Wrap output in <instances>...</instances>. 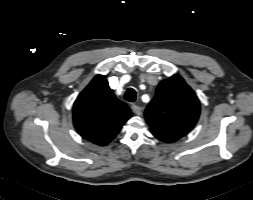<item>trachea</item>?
Listing matches in <instances>:
<instances>
[{"label": "trachea", "instance_id": "1", "mask_svg": "<svg viewBox=\"0 0 253 200\" xmlns=\"http://www.w3.org/2000/svg\"><path fill=\"white\" fill-rule=\"evenodd\" d=\"M124 98H125L126 101L135 102V100H136V91L133 88H128L126 93H125Z\"/></svg>", "mask_w": 253, "mask_h": 200}]
</instances>
